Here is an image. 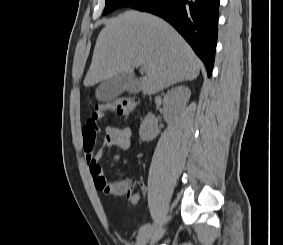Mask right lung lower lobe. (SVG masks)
Wrapping results in <instances>:
<instances>
[{"label": "right lung lower lobe", "instance_id": "obj_1", "mask_svg": "<svg viewBox=\"0 0 283 245\" xmlns=\"http://www.w3.org/2000/svg\"><path fill=\"white\" fill-rule=\"evenodd\" d=\"M220 0H140L130 6L168 21L204 62L210 77L217 43Z\"/></svg>", "mask_w": 283, "mask_h": 245}]
</instances>
